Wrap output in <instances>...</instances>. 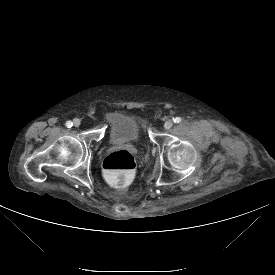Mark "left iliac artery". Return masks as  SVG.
Listing matches in <instances>:
<instances>
[{"label": "left iliac artery", "instance_id": "44dca946", "mask_svg": "<svg viewBox=\"0 0 275 275\" xmlns=\"http://www.w3.org/2000/svg\"><path fill=\"white\" fill-rule=\"evenodd\" d=\"M182 121V119L180 117H176L174 119V123H180Z\"/></svg>", "mask_w": 275, "mask_h": 275}]
</instances>
